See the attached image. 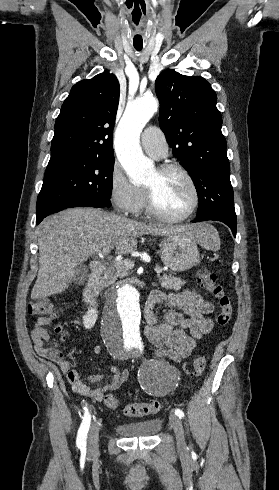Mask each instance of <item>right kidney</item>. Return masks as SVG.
I'll return each instance as SVG.
<instances>
[{
	"label": "right kidney",
	"instance_id": "right-kidney-1",
	"mask_svg": "<svg viewBox=\"0 0 279 490\" xmlns=\"http://www.w3.org/2000/svg\"><path fill=\"white\" fill-rule=\"evenodd\" d=\"M97 318H98L97 310H93V308H91V310H88L85 316H83L84 328H86V330H91V328L95 326Z\"/></svg>",
	"mask_w": 279,
	"mask_h": 490
}]
</instances>
